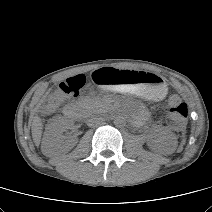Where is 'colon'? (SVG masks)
I'll return each instance as SVG.
<instances>
[{"mask_svg": "<svg viewBox=\"0 0 212 212\" xmlns=\"http://www.w3.org/2000/svg\"><path fill=\"white\" fill-rule=\"evenodd\" d=\"M86 76L79 74L66 79L59 83L56 91L51 96L48 108L54 109L57 107L66 97L78 96L86 84ZM170 117L176 122L178 126H181L188 117L189 108L187 103L178 95L174 93L167 101Z\"/></svg>", "mask_w": 212, "mask_h": 212, "instance_id": "colon-1", "label": "colon"}]
</instances>
